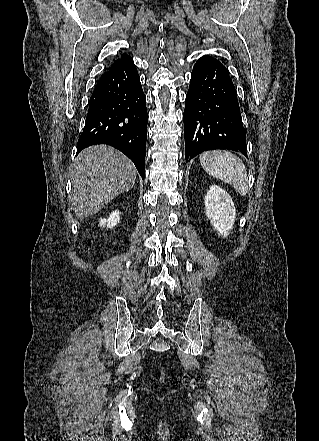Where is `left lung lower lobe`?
Segmentation results:
<instances>
[{"instance_id":"left-lung-lower-lobe-1","label":"left lung lower lobe","mask_w":319,"mask_h":441,"mask_svg":"<svg viewBox=\"0 0 319 441\" xmlns=\"http://www.w3.org/2000/svg\"><path fill=\"white\" fill-rule=\"evenodd\" d=\"M185 158L213 149H228L247 157L236 88L224 65L208 56L195 64L183 114Z\"/></svg>"}]
</instances>
